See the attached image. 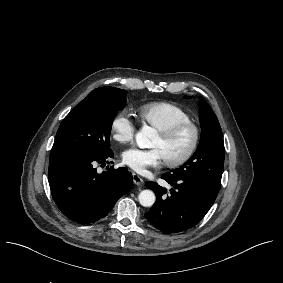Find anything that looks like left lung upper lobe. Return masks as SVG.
<instances>
[{"mask_svg":"<svg viewBox=\"0 0 283 283\" xmlns=\"http://www.w3.org/2000/svg\"><path fill=\"white\" fill-rule=\"evenodd\" d=\"M189 99L190 96H185ZM201 141L193 156L180 168L168 173L173 178H198L219 191L224 166V143L220 124L210 106L200 102Z\"/></svg>","mask_w":283,"mask_h":283,"instance_id":"5c2ea615","label":"left lung upper lobe"}]
</instances>
